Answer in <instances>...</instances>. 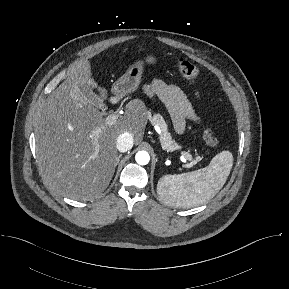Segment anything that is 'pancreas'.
Wrapping results in <instances>:
<instances>
[{
    "instance_id": "1",
    "label": "pancreas",
    "mask_w": 289,
    "mask_h": 289,
    "mask_svg": "<svg viewBox=\"0 0 289 289\" xmlns=\"http://www.w3.org/2000/svg\"><path fill=\"white\" fill-rule=\"evenodd\" d=\"M149 119L153 125H157L161 129L162 134L160 141L164 150L174 151L180 149V146L172 139L171 134L168 132L167 124L161 115L155 114L154 116H149ZM200 159L201 158L199 156L196 157V160L193 161L192 164L199 161Z\"/></svg>"
}]
</instances>
